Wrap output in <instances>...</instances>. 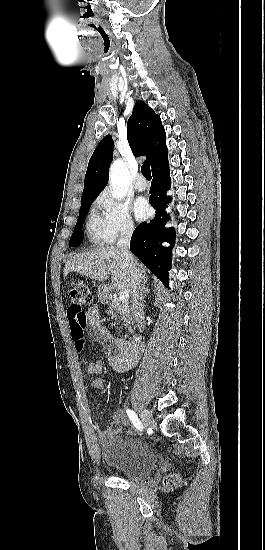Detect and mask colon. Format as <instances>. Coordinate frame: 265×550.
<instances>
[{
	"instance_id": "5ec220e1",
	"label": "colon",
	"mask_w": 265,
	"mask_h": 550,
	"mask_svg": "<svg viewBox=\"0 0 265 550\" xmlns=\"http://www.w3.org/2000/svg\"><path fill=\"white\" fill-rule=\"evenodd\" d=\"M70 306L67 310V315L70 319V326L74 339L82 336L83 326L86 322V315L83 310L84 306L90 304L93 300V295L90 288L83 282H75L68 289ZM108 430L110 433L116 434L121 430L118 422L109 423ZM179 479L176 475L168 476L164 484L171 488L177 485Z\"/></svg>"
}]
</instances>
